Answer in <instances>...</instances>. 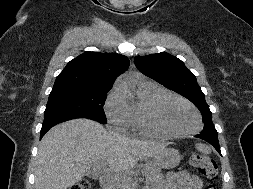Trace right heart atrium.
Wrapping results in <instances>:
<instances>
[{
  "label": "right heart atrium",
  "instance_id": "right-heart-atrium-1",
  "mask_svg": "<svg viewBox=\"0 0 253 189\" xmlns=\"http://www.w3.org/2000/svg\"><path fill=\"white\" fill-rule=\"evenodd\" d=\"M104 109L110 124L118 128H126L129 126V105L119 88L115 87L109 92L105 100Z\"/></svg>",
  "mask_w": 253,
  "mask_h": 189
}]
</instances>
